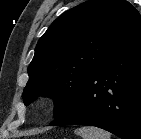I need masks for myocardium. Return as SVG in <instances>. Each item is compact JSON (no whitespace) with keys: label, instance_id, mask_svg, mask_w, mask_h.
Returning a JSON list of instances; mask_svg holds the SVG:
<instances>
[{"label":"myocardium","instance_id":"1","mask_svg":"<svg viewBox=\"0 0 141 139\" xmlns=\"http://www.w3.org/2000/svg\"><path fill=\"white\" fill-rule=\"evenodd\" d=\"M55 94L50 91H44L37 95L35 99V108L39 112H45L49 110L55 103Z\"/></svg>","mask_w":141,"mask_h":139}]
</instances>
